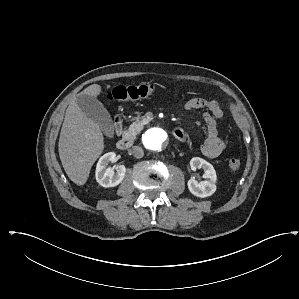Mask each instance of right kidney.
<instances>
[{
    "mask_svg": "<svg viewBox=\"0 0 299 299\" xmlns=\"http://www.w3.org/2000/svg\"><path fill=\"white\" fill-rule=\"evenodd\" d=\"M116 154L109 152L101 156L96 166V180L103 187H115L124 179L126 168L124 165H120L116 168V172L108 167L109 162L114 161Z\"/></svg>",
    "mask_w": 299,
    "mask_h": 299,
    "instance_id": "ca27d5eb",
    "label": "right kidney"
}]
</instances>
